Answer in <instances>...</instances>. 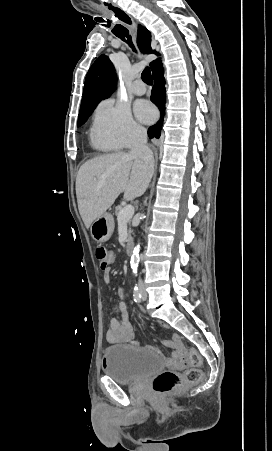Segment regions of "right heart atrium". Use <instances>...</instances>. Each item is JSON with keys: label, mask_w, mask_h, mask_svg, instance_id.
I'll use <instances>...</instances> for the list:
<instances>
[{"label": "right heart atrium", "mask_w": 272, "mask_h": 451, "mask_svg": "<svg viewBox=\"0 0 272 451\" xmlns=\"http://www.w3.org/2000/svg\"><path fill=\"white\" fill-rule=\"evenodd\" d=\"M141 132L142 127L125 105L104 101L96 108L92 135L98 145L125 148Z\"/></svg>", "instance_id": "obj_1"}]
</instances>
